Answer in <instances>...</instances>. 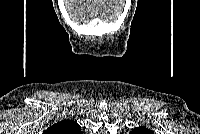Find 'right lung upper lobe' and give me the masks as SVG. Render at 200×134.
<instances>
[{
	"mask_svg": "<svg viewBox=\"0 0 200 134\" xmlns=\"http://www.w3.org/2000/svg\"><path fill=\"white\" fill-rule=\"evenodd\" d=\"M46 134H79L80 126L72 120H63L52 125L45 132Z\"/></svg>",
	"mask_w": 200,
	"mask_h": 134,
	"instance_id": "1",
	"label": "right lung upper lobe"
}]
</instances>
